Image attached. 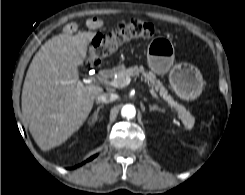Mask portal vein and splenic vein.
Instances as JSON below:
<instances>
[{
    "label": "portal vein and splenic vein",
    "mask_w": 245,
    "mask_h": 195,
    "mask_svg": "<svg viewBox=\"0 0 245 195\" xmlns=\"http://www.w3.org/2000/svg\"><path fill=\"white\" fill-rule=\"evenodd\" d=\"M130 81H131V78L130 77H126L124 79L123 84H122L121 87L127 86L130 83ZM103 82H104V84H107V85H111V86H114V87H119L118 86V83L115 80H112V81H103ZM149 92H150V94L154 98H156L157 100H160L159 97H158V95L154 92V90L149 89Z\"/></svg>",
    "instance_id": "obj_1"
}]
</instances>
